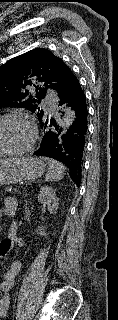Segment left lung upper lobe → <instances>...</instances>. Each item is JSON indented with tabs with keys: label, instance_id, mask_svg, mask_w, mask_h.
Segmentation results:
<instances>
[{
	"label": "left lung upper lobe",
	"instance_id": "1",
	"mask_svg": "<svg viewBox=\"0 0 118 320\" xmlns=\"http://www.w3.org/2000/svg\"><path fill=\"white\" fill-rule=\"evenodd\" d=\"M72 75L62 59L49 50L38 48L26 52L0 67V107L26 108L36 113L40 121L47 115L38 106L46 90L59 94ZM31 87L36 89L35 97L29 95Z\"/></svg>",
	"mask_w": 118,
	"mask_h": 320
}]
</instances>
